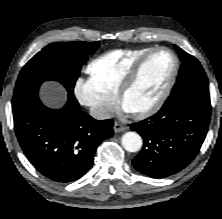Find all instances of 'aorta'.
<instances>
[{
	"mask_svg": "<svg viewBox=\"0 0 222 219\" xmlns=\"http://www.w3.org/2000/svg\"><path fill=\"white\" fill-rule=\"evenodd\" d=\"M123 148L128 152H137L142 147V139L136 132H126L121 138Z\"/></svg>",
	"mask_w": 222,
	"mask_h": 219,
	"instance_id": "obj_1",
	"label": "aorta"
}]
</instances>
